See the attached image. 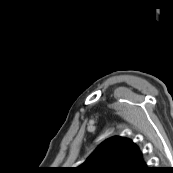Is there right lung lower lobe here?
I'll list each match as a JSON object with an SVG mask.
<instances>
[{"mask_svg":"<svg viewBox=\"0 0 173 173\" xmlns=\"http://www.w3.org/2000/svg\"><path fill=\"white\" fill-rule=\"evenodd\" d=\"M127 173H152V170L141 161L133 166Z\"/></svg>","mask_w":173,"mask_h":173,"instance_id":"obj_1","label":"right lung lower lobe"}]
</instances>
